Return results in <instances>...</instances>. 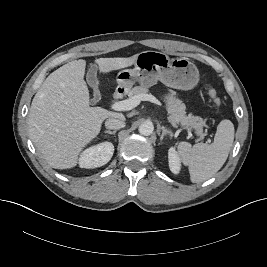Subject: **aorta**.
<instances>
[{
	"label": "aorta",
	"instance_id": "aorta-1",
	"mask_svg": "<svg viewBox=\"0 0 267 267\" xmlns=\"http://www.w3.org/2000/svg\"><path fill=\"white\" fill-rule=\"evenodd\" d=\"M139 133L144 136H149L153 133L154 125L151 121H145L139 126Z\"/></svg>",
	"mask_w": 267,
	"mask_h": 267
}]
</instances>
